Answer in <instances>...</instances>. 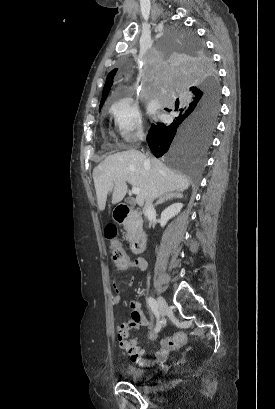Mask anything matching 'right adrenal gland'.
Returning a JSON list of instances; mask_svg holds the SVG:
<instances>
[{
  "instance_id": "1",
  "label": "right adrenal gland",
  "mask_w": 275,
  "mask_h": 409,
  "mask_svg": "<svg viewBox=\"0 0 275 409\" xmlns=\"http://www.w3.org/2000/svg\"><path fill=\"white\" fill-rule=\"evenodd\" d=\"M183 194L178 190V192H166V194H162L159 200H157L155 207L157 205H162V202H166V200H171V198H182Z\"/></svg>"
}]
</instances>
